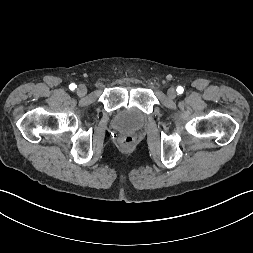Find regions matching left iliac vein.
I'll list each match as a JSON object with an SVG mask.
<instances>
[{"instance_id": "4c4485c4", "label": "left iliac vein", "mask_w": 253, "mask_h": 253, "mask_svg": "<svg viewBox=\"0 0 253 253\" xmlns=\"http://www.w3.org/2000/svg\"><path fill=\"white\" fill-rule=\"evenodd\" d=\"M167 95L169 98L174 99L177 95L176 90L174 88H169L167 91Z\"/></svg>"}]
</instances>
